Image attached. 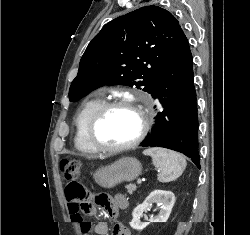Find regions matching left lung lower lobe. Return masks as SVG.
Masks as SVG:
<instances>
[{
    "label": "left lung lower lobe",
    "mask_w": 250,
    "mask_h": 235,
    "mask_svg": "<svg viewBox=\"0 0 250 235\" xmlns=\"http://www.w3.org/2000/svg\"><path fill=\"white\" fill-rule=\"evenodd\" d=\"M192 55L183 31L178 35L150 91L162 109L149 138L141 146H158L183 153L200 168L198 114Z\"/></svg>",
    "instance_id": "1"
}]
</instances>
